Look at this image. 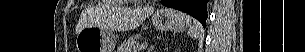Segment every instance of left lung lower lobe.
<instances>
[{"instance_id": "obj_1", "label": "left lung lower lobe", "mask_w": 305, "mask_h": 52, "mask_svg": "<svg viewBox=\"0 0 305 52\" xmlns=\"http://www.w3.org/2000/svg\"><path fill=\"white\" fill-rule=\"evenodd\" d=\"M209 0H161L164 6L183 11L198 19L205 27Z\"/></svg>"}]
</instances>
